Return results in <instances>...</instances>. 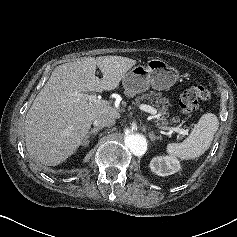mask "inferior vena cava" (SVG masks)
<instances>
[{"label":"inferior vena cava","instance_id":"inferior-vena-cava-1","mask_svg":"<svg viewBox=\"0 0 237 237\" xmlns=\"http://www.w3.org/2000/svg\"><path fill=\"white\" fill-rule=\"evenodd\" d=\"M115 124V118L109 115H103V116H99L97 117L94 122L93 125L96 127H109Z\"/></svg>","mask_w":237,"mask_h":237}]
</instances>
